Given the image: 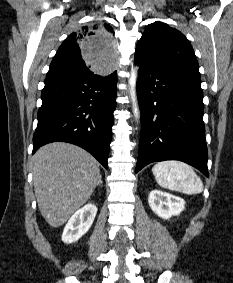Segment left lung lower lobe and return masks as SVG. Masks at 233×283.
I'll use <instances>...</instances> for the list:
<instances>
[{"instance_id":"1","label":"left lung lower lobe","mask_w":233,"mask_h":283,"mask_svg":"<svg viewBox=\"0 0 233 283\" xmlns=\"http://www.w3.org/2000/svg\"><path fill=\"white\" fill-rule=\"evenodd\" d=\"M135 63L140 67L137 96L142 122L136 172L152 162L180 160L209 177L198 68L138 57Z\"/></svg>"}]
</instances>
